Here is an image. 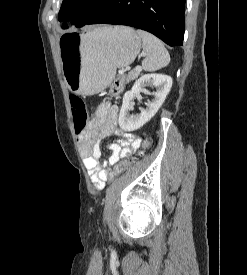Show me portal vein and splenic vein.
I'll return each instance as SVG.
<instances>
[{
    "label": "portal vein and splenic vein",
    "instance_id": "obj_1",
    "mask_svg": "<svg viewBox=\"0 0 247 275\" xmlns=\"http://www.w3.org/2000/svg\"><path fill=\"white\" fill-rule=\"evenodd\" d=\"M135 70L140 72L142 71V68L140 66H136Z\"/></svg>",
    "mask_w": 247,
    "mask_h": 275
}]
</instances>
